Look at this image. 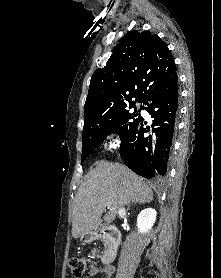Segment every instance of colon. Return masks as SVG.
<instances>
[{
  "mask_svg": "<svg viewBox=\"0 0 221 278\" xmlns=\"http://www.w3.org/2000/svg\"><path fill=\"white\" fill-rule=\"evenodd\" d=\"M72 273L77 278H83L84 275H88L91 270V261L86 257H73L69 262Z\"/></svg>",
  "mask_w": 221,
  "mask_h": 278,
  "instance_id": "5ec220e1",
  "label": "colon"
}]
</instances>
